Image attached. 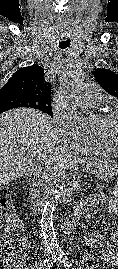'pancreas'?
Masks as SVG:
<instances>
[{"label": "pancreas", "instance_id": "pancreas-1", "mask_svg": "<svg viewBox=\"0 0 118 269\" xmlns=\"http://www.w3.org/2000/svg\"><path fill=\"white\" fill-rule=\"evenodd\" d=\"M92 189H94L95 192H112L113 191L112 187H108V182H93Z\"/></svg>", "mask_w": 118, "mask_h": 269}]
</instances>
